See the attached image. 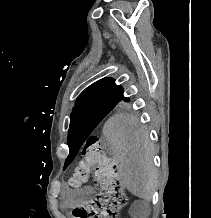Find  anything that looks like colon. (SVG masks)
Returning <instances> with one entry per match:
<instances>
[{
  "label": "colon",
  "instance_id": "5ec220e1",
  "mask_svg": "<svg viewBox=\"0 0 211 218\" xmlns=\"http://www.w3.org/2000/svg\"><path fill=\"white\" fill-rule=\"evenodd\" d=\"M92 180L99 192L85 207L76 208V218H117L127 197L114 159L105 153L97 136L84 143L80 161L70 179V185L81 187Z\"/></svg>",
  "mask_w": 211,
  "mask_h": 218
}]
</instances>
